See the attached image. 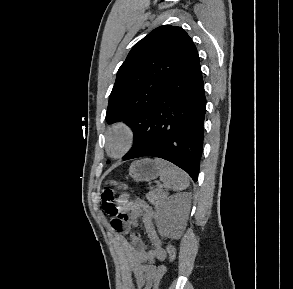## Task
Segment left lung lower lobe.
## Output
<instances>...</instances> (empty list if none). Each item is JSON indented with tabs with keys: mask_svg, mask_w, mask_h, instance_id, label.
<instances>
[{
	"mask_svg": "<svg viewBox=\"0 0 293 289\" xmlns=\"http://www.w3.org/2000/svg\"><path fill=\"white\" fill-rule=\"evenodd\" d=\"M206 98L199 59L150 105L132 127L124 160L154 156L185 170L196 182L203 149Z\"/></svg>",
	"mask_w": 293,
	"mask_h": 289,
	"instance_id": "left-lung-lower-lobe-1",
	"label": "left lung lower lobe"
}]
</instances>
